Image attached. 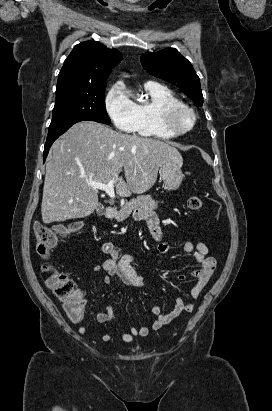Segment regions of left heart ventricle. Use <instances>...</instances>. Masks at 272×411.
Masks as SVG:
<instances>
[{
  "mask_svg": "<svg viewBox=\"0 0 272 411\" xmlns=\"http://www.w3.org/2000/svg\"><path fill=\"white\" fill-rule=\"evenodd\" d=\"M190 120L189 114L182 113L177 117L176 122L179 127L184 128L190 123Z\"/></svg>",
  "mask_w": 272,
  "mask_h": 411,
  "instance_id": "1",
  "label": "left heart ventricle"
}]
</instances>
